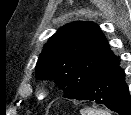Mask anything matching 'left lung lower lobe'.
I'll return each mask as SVG.
<instances>
[{
  "label": "left lung lower lobe",
  "instance_id": "1",
  "mask_svg": "<svg viewBox=\"0 0 131 115\" xmlns=\"http://www.w3.org/2000/svg\"><path fill=\"white\" fill-rule=\"evenodd\" d=\"M75 99L95 101L119 115H131V94L120 64L97 77Z\"/></svg>",
  "mask_w": 131,
  "mask_h": 115
}]
</instances>
